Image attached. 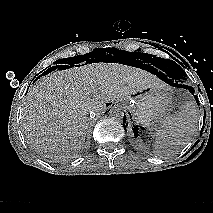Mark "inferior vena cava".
<instances>
[{
  "instance_id": "602c4592",
  "label": "inferior vena cava",
  "mask_w": 213,
  "mask_h": 213,
  "mask_svg": "<svg viewBox=\"0 0 213 213\" xmlns=\"http://www.w3.org/2000/svg\"><path fill=\"white\" fill-rule=\"evenodd\" d=\"M96 114H97L96 111L93 110V111H91L89 116H90V118L93 119V118H95Z\"/></svg>"
}]
</instances>
